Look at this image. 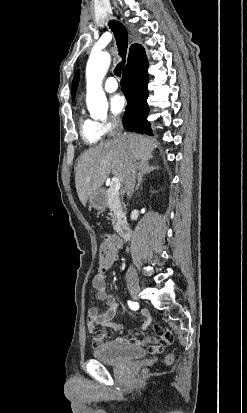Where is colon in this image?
<instances>
[{"mask_svg": "<svg viewBox=\"0 0 247 413\" xmlns=\"http://www.w3.org/2000/svg\"><path fill=\"white\" fill-rule=\"evenodd\" d=\"M116 260V245L112 244V240L108 238L96 245V263L100 265L101 270L106 272L109 267V261ZM173 360L172 355L165 357V362L170 363Z\"/></svg>", "mask_w": 247, "mask_h": 413, "instance_id": "5ec220e1", "label": "colon"}]
</instances>
